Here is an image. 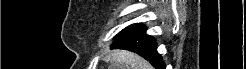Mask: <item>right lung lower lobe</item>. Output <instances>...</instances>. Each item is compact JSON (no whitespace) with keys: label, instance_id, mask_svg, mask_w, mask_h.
Listing matches in <instances>:
<instances>
[{"label":"right lung lower lobe","instance_id":"right-lung-lower-lobe-1","mask_svg":"<svg viewBox=\"0 0 246 69\" xmlns=\"http://www.w3.org/2000/svg\"><path fill=\"white\" fill-rule=\"evenodd\" d=\"M111 48L135 52L149 60L155 68L165 69V64L156 51V43L153 37L146 35V28L143 24H139L122 34L112 43Z\"/></svg>","mask_w":246,"mask_h":69}]
</instances>
